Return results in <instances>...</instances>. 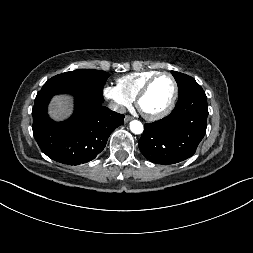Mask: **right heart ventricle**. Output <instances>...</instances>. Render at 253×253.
<instances>
[{
    "label": "right heart ventricle",
    "instance_id": "obj_1",
    "mask_svg": "<svg viewBox=\"0 0 253 253\" xmlns=\"http://www.w3.org/2000/svg\"><path fill=\"white\" fill-rule=\"evenodd\" d=\"M158 71H142L124 75L116 80V86L129 99L134 100L142 86Z\"/></svg>",
    "mask_w": 253,
    "mask_h": 253
}]
</instances>
